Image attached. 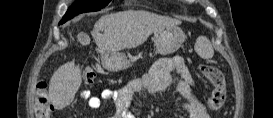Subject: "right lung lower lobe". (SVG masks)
<instances>
[{
	"instance_id": "1",
	"label": "right lung lower lobe",
	"mask_w": 273,
	"mask_h": 118,
	"mask_svg": "<svg viewBox=\"0 0 273 118\" xmlns=\"http://www.w3.org/2000/svg\"><path fill=\"white\" fill-rule=\"evenodd\" d=\"M63 23H64V20H61V21H60V24H63Z\"/></svg>"
}]
</instances>
